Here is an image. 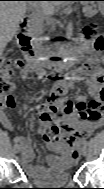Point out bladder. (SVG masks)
I'll return each mask as SVG.
<instances>
[{
	"instance_id": "bladder-1",
	"label": "bladder",
	"mask_w": 104,
	"mask_h": 189,
	"mask_svg": "<svg viewBox=\"0 0 104 189\" xmlns=\"http://www.w3.org/2000/svg\"><path fill=\"white\" fill-rule=\"evenodd\" d=\"M25 175L39 185H65L70 182L71 174L68 165L43 167L40 172L24 171Z\"/></svg>"
}]
</instances>
